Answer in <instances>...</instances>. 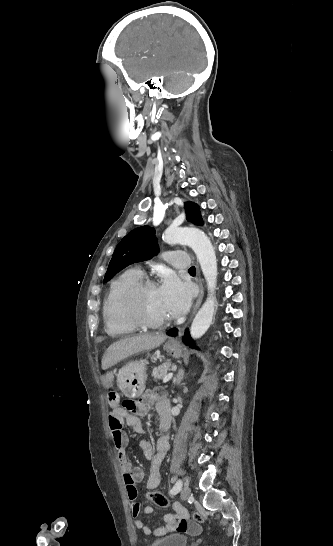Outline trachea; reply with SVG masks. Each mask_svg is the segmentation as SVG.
<instances>
[{"label": "trachea", "instance_id": "obj_1", "mask_svg": "<svg viewBox=\"0 0 333 546\" xmlns=\"http://www.w3.org/2000/svg\"><path fill=\"white\" fill-rule=\"evenodd\" d=\"M189 272H193V273H195V272H196V269H195V267H194V266H192V267H191V268L189 269Z\"/></svg>", "mask_w": 333, "mask_h": 546}]
</instances>
